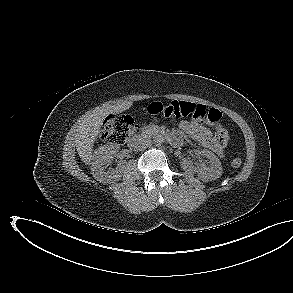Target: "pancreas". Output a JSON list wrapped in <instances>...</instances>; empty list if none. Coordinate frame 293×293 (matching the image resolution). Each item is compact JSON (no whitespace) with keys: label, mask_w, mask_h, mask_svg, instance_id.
I'll return each mask as SVG.
<instances>
[{"label":"pancreas","mask_w":293,"mask_h":293,"mask_svg":"<svg viewBox=\"0 0 293 293\" xmlns=\"http://www.w3.org/2000/svg\"><path fill=\"white\" fill-rule=\"evenodd\" d=\"M144 132L150 135L157 134L159 132V127L156 125H148L144 127Z\"/></svg>","instance_id":"1"}]
</instances>
